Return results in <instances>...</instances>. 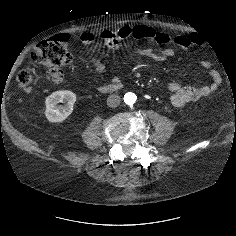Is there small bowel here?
I'll return each mask as SVG.
<instances>
[{"label": "small bowel", "mask_w": 236, "mask_h": 236, "mask_svg": "<svg viewBox=\"0 0 236 236\" xmlns=\"http://www.w3.org/2000/svg\"><path fill=\"white\" fill-rule=\"evenodd\" d=\"M62 36L68 38L66 34H63ZM131 37L139 40L153 41L159 45L165 46L157 51L145 50L151 58L157 61H166L170 59L175 55L176 49H187L202 43V38L198 34L172 35L158 32L153 28L143 25L134 27L124 26L117 31L104 30L99 34L100 41L111 50H118L121 42ZM80 41L83 45H91L95 41V35L91 32H84L80 36ZM91 64L96 73H104V67L99 61L92 58ZM201 66L203 68H209L211 64L209 61L203 60ZM210 76L211 83L208 85H183L170 82L165 84L163 88L171 93L172 104L177 108H181L189 103L204 98L219 89L222 82L220 73L216 70H212ZM52 80L59 83L62 81V77L58 73Z\"/></svg>", "instance_id": "small-bowel-1"}]
</instances>
